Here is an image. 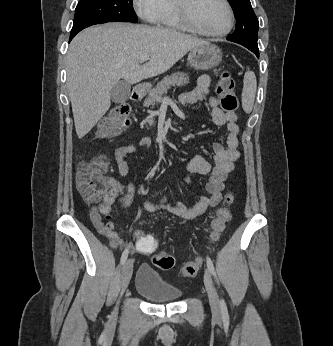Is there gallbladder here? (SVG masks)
Wrapping results in <instances>:
<instances>
[{
	"label": "gallbladder",
	"mask_w": 333,
	"mask_h": 346,
	"mask_svg": "<svg viewBox=\"0 0 333 346\" xmlns=\"http://www.w3.org/2000/svg\"><path fill=\"white\" fill-rule=\"evenodd\" d=\"M131 86L126 80L118 81L110 92L111 100L114 103H124L130 96Z\"/></svg>",
	"instance_id": "bac80fb5"
}]
</instances>
